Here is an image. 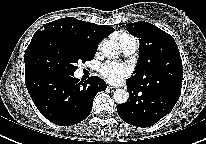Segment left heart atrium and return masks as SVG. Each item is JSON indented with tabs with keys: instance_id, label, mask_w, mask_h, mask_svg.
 Wrapping results in <instances>:
<instances>
[{
	"instance_id": "39dd6f15",
	"label": "left heart atrium",
	"mask_w": 206,
	"mask_h": 144,
	"mask_svg": "<svg viewBox=\"0 0 206 144\" xmlns=\"http://www.w3.org/2000/svg\"><path fill=\"white\" fill-rule=\"evenodd\" d=\"M99 72L107 82L118 84L125 80L131 71L126 64L107 62L100 67Z\"/></svg>"
}]
</instances>
